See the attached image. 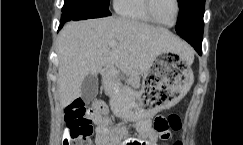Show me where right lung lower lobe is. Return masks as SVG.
I'll return each mask as SVG.
<instances>
[{"instance_id":"1","label":"right lung lower lobe","mask_w":243,"mask_h":145,"mask_svg":"<svg viewBox=\"0 0 243 145\" xmlns=\"http://www.w3.org/2000/svg\"><path fill=\"white\" fill-rule=\"evenodd\" d=\"M110 15L111 13L108 9L99 7L94 3L84 0H65L59 29L63 27L65 22L70 20L76 21Z\"/></svg>"}]
</instances>
